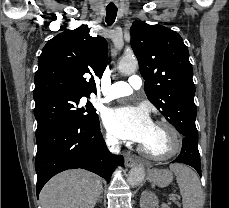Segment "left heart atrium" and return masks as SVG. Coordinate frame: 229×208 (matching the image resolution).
Returning <instances> with one entry per match:
<instances>
[{
    "mask_svg": "<svg viewBox=\"0 0 229 208\" xmlns=\"http://www.w3.org/2000/svg\"><path fill=\"white\" fill-rule=\"evenodd\" d=\"M104 123L110 133L118 138L140 143L148 137L154 125L146 109L132 106L110 109Z\"/></svg>",
    "mask_w": 229,
    "mask_h": 208,
    "instance_id": "39dd6f15",
    "label": "left heart atrium"
}]
</instances>
